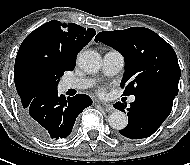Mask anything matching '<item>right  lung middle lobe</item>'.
I'll return each instance as SVG.
<instances>
[{
  "label": "right lung middle lobe",
  "instance_id": "dd1d6c3e",
  "mask_svg": "<svg viewBox=\"0 0 190 165\" xmlns=\"http://www.w3.org/2000/svg\"><path fill=\"white\" fill-rule=\"evenodd\" d=\"M68 68L58 62L44 58L35 61L32 68V80L37 93L57 89L60 77Z\"/></svg>",
  "mask_w": 190,
  "mask_h": 165
}]
</instances>
